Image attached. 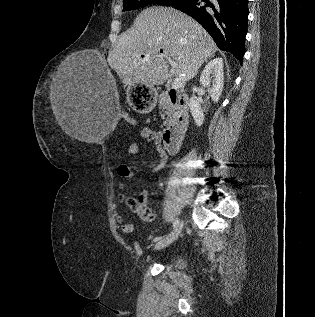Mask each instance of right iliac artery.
<instances>
[{
    "label": "right iliac artery",
    "mask_w": 315,
    "mask_h": 317,
    "mask_svg": "<svg viewBox=\"0 0 315 317\" xmlns=\"http://www.w3.org/2000/svg\"><path fill=\"white\" fill-rule=\"evenodd\" d=\"M179 224V220L178 219H175L174 222H173V227H177V225ZM162 239V237H156L153 241H158Z\"/></svg>",
    "instance_id": "obj_1"
}]
</instances>
